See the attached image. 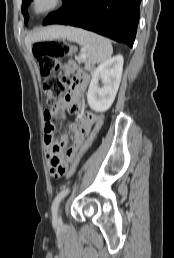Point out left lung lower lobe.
Wrapping results in <instances>:
<instances>
[{
	"label": "left lung lower lobe",
	"instance_id": "0a47b994",
	"mask_svg": "<svg viewBox=\"0 0 174 258\" xmlns=\"http://www.w3.org/2000/svg\"><path fill=\"white\" fill-rule=\"evenodd\" d=\"M141 0H64L63 7L43 25L81 27L133 46Z\"/></svg>",
	"mask_w": 174,
	"mask_h": 258
}]
</instances>
